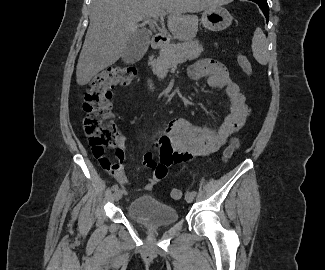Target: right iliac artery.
Returning a JSON list of instances; mask_svg holds the SVG:
<instances>
[{
    "label": "right iliac artery",
    "instance_id": "obj_1",
    "mask_svg": "<svg viewBox=\"0 0 325 270\" xmlns=\"http://www.w3.org/2000/svg\"><path fill=\"white\" fill-rule=\"evenodd\" d=\"M118 188H119V187H118V185H117V184H115V185H113V186H112V188H111V189H112L113 191H116V190H118Z\"/></svg>",
    "mask_w": 325,
    "mask_h": 270
}]
</instances>
